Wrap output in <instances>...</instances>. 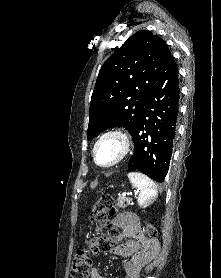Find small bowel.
I'll list each match as a JSON object with an SVG mask.
<instances>
[{"label":"small bowel","instance_id":"obj_1","mask_svg":"<svg viewBox=\"0 0 221 278\" xmlns=\"http://www.w3.org/2000/svg\"><path fill=\"white\" fill-rule=\"evenodd\" d=\"M113 223L120 231L118 240L123 242L115 246L112 252L117 256L129 257L122 264L124 278H140L141 269L155 257L158 247L150 249V240L146 238L136 215H128L127 219L122 215L117 216ZM90 278L106 277L93 268Z\"/></svg>","mask_w":221,"mask_h":278}]
</instances>
